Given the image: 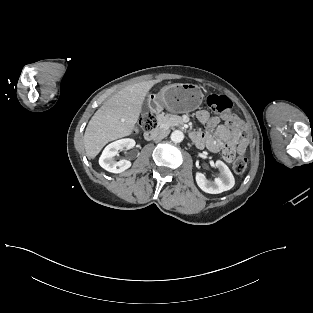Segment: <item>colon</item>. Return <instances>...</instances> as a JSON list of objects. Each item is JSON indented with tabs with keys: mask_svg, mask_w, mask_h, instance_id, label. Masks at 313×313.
I'll list each match as a JSON object with an SVG mask.
<instances>
[{
	"mask_svg": "<svg viewBox=\"0 0 313 313\" xmlns=\"http://www.w3.org/2000/svg\"><path fill=\"white\" fill-rule=\"evenodd\" d=\"M207 105L215 112L226 114L232 107V102L229 98L223 95L211 94L207 97ZM157 125L156 116L151 113H145L140 118L136 130L148 132L153 130ZM223 157L229 162H232L233 170L237 174H242L247 168V159L242 155H236L235 151L229 147L223 150Z\"/></svg>",
	"mask_w": 313,
	"mask_h": 313,
	"instance_id": "1",
	"label": "colon"
}]
</instances>
